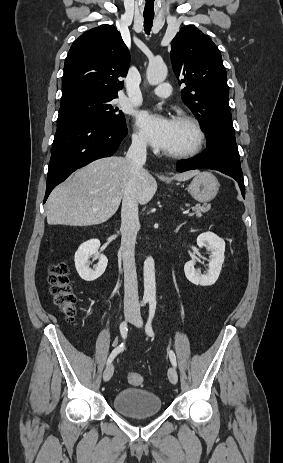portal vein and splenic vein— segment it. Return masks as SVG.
<instances>
[{"mask_svg":"<svg viewBox=\"0 0 283 463\" xmlns=\"http://www.w3.org/2000/svg\"><path fill=\"white\" fill-rule=\"evenodd\" d=\"M187 213H189V210L183 211V214H187Z\"/></svg>","mask_w":283,"mask_h":463,"instance_id":"portal-vein-and-splenic-vein-1","label":"portal vein and splenic vein"}]
</instances>
